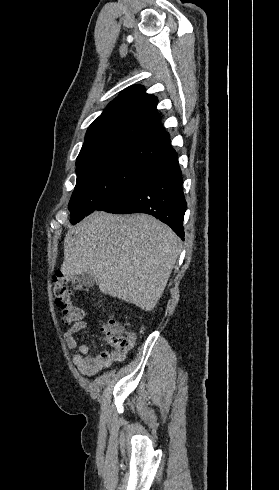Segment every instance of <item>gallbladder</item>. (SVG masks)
Masks as SVG:
<instances>
[{
    "label": "gallbladder",
    "instance_id": "bac80fb5",
    "mask_svg": "<svg viewBox=\"0 0 279 490\" xmlns=\"http://www.w3.org/2000/svg\"><path fill=\"white\" fill-rule=\"evenodd\" d=\"M78 282H80L81 286H87V288H92L94 286L96 280L92 274H81L78 278Z\"/></svg>",
    "mask_w": 279,
    "mask_h": 490
}]
</instances>
